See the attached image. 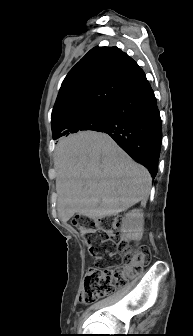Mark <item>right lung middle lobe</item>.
Returning <instances> with one entry per match:
<instances>
[{
  "label": "right lung middle lobe",
  "mask_w": 193,
  "mask_h": 336,
  "mask_svg": "<svg viewBox=\"0 0 193 336\" xmlns=\"http://www.w3.org/2000/svg\"><path fill=\"white\" fill-rule=\"evenodd\" d=\"M109 111L110 108H104L78 117L74 121L73 129L76 131L75 133L81 130L99 131L104 126L109 115Z\"/></svg>",
  "instance_id": "obj_1"
}]
</instances>
